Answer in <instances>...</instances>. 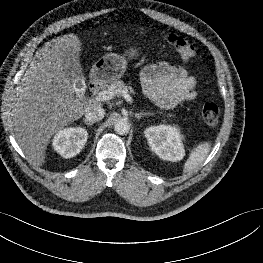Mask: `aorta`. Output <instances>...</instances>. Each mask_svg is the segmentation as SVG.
Here are the masks:
<instances>
[{
  "label": "aorta",
  "instance_id": "obj_1",
  "mask_svg": "<svg viewBox=\"0 0 263 263\" xmlns=\"http://www.w3.org/2000/svg\"><path fill=\"white\" fill-rule=\"evenodd\" d=\"M114 130L119 135L127 134L130 130V124L127 119H118L114 124Z\"/></svg>",
  "mask_w": 263,
  "mask_h": 263
}]
</instances>
